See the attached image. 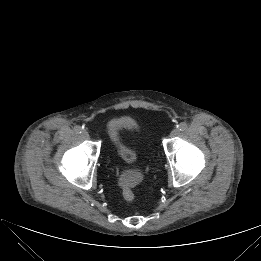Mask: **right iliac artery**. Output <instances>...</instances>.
Wrapping results in <instances>:
<instances>
[{
    "label": "right iliac artery",
    "mask_w": 261,
    "mask_h": 261,
    "mask_svg": "<svg viewBox=\"0 0 261 261\" xmlns=\"http://www.w3.org/2000/svg\"><path fill=\"white\" fill-rule=\"evenodd\" d=\"M74 130H75L76 133H81L82 130H83V128H82L81 126H79V125H76V126L74 127Z\"/></svg>",
    "instance_id": "right-iliac-artery-1"
}]
</instances>
